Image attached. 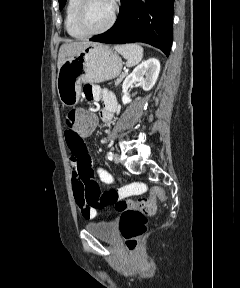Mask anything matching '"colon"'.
<instances>
[{
    "label": "colon",
    "mask_w": 240,
    "mask_h": 288,
    "mask_svg": "<svg viewBox=\"0 0 240 288\" xmlns=\"http://www.w3.org/2000/svg\"><path fill=\"white\" fill-rule=\"evenodd\" d=\"M96 123L94 113L85 109H72L65 117L67 131L76 136L90 132ZM144 186L134 185L132 190H142ZM164 191L155 186L150 191L149 198L136 201L126 200L116 189L105 191L89 190L86 194V203L98 209L113 204L117 212L121 214L120 232L129 251L136 250L141 236L146 231L147 218L156 211V200L164 201Z\"/></svg>",
    "instance_id": "colon-1"
}]
</instances>
